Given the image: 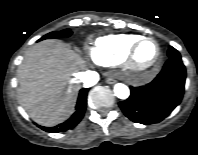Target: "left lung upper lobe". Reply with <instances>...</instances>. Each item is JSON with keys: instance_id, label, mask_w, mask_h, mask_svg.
<instances>
[{"instance_id": "5c2ea615", "label": "left lung upper lobe", "mask_w": 198, "mask_h": 155, "mask_svg": "<svg viewBox=\"0 0 198 155\" xmlns=\"http://www.w3.org/2000/svg\"><path fill=\"white\" fill-rule=\"evenodd\" d=\"M168 57L169 59H181L179 52L173 47L169 48Z\"/></svg>"}]
</instances>
